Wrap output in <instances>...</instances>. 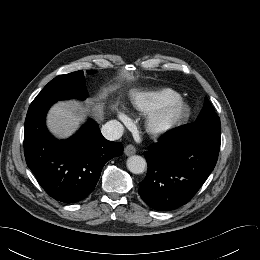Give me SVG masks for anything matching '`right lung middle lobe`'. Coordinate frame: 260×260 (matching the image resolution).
<instances>
[{
	"mask_svg": "<svg viewBox=\"0 0 260 260\" xmlns=\"http://www.w3.org/2000/svg\"><path fill=\"white\" fill-rule=\"evenodd\" d=\"M91 72L88 71V73ZM86 97L87 92L83 72L76 71L55 77L43 88L34 101H57L71 98L84 99Z\"/></svg>",
	"mask_w": 260,
	"mask_h": 260,
	"instance_id": "1",
	"label": "right lung middle lobe"
}]
</instances>
